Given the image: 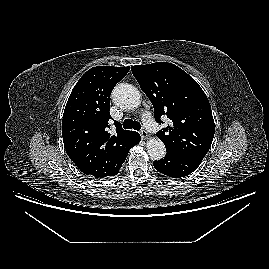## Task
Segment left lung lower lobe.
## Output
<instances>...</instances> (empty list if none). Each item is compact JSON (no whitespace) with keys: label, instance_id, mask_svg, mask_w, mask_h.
<instances>
[{"label":"left lung lower lobe","instance_id":"left-lung-lower-lobe-1","mask_svg":"<svg viewBox=\"0 0 269 269\" xmlns=\"http://www.w3.org/2000/svg\"><path fill=\"white\" fill-rule=\"evenodd\" d=\"M203 158L200 157H187L166 154V156L159 160L154 161L153 165L157 171L173 178L184 177L195 171Z\"/></svg>","mask_w":269,"mask_h":269}]
</instances>
